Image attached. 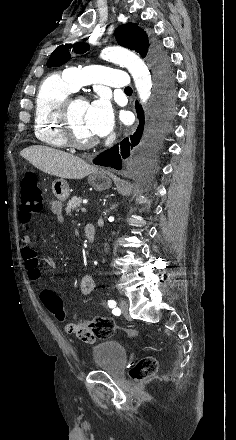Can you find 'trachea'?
<instances>
[{
	"mask_svg": "<svg viewBox=\"0 0 236 440\" xmlns=\"http://www.w3.org/2000/svg\"><path fill=\"white\" fill-rule=\"evenodd\" d=\"M125 91H132V88L128 87V88L125 89Z\"/></svg>",
	"mask_w": 236,
	"mask_h": 440,
	"instance_id": "obj_1",
	"label": "trachea"
}]
</instances>
